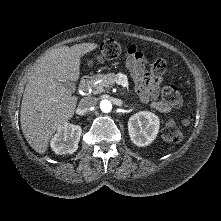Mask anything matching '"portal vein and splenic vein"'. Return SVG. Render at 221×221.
Returning a JSON list of instances; mask_svg holds the SVG:
<instances>
[{"label": "portal vein and splenic vein", "mask_w": 221, "mask_h": 221, "mask_svg": "<svg viewBox=\"0 0 221 221\" xmlns=\"http://www.w3.org/2000/svg\"><path fill=\"white\" fill-rule=\"evenodd\" d=\"M118 84H121L124 87L128 86L127 81H119Z\"/></svg>", "instance_id": "portal-vein-and-splenic-vein-1"}]
</instances>
